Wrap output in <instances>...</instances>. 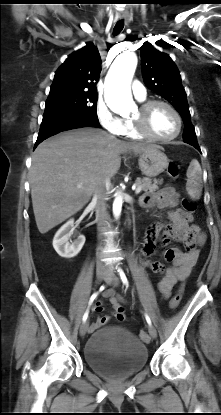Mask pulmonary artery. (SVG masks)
<instances>
[{
  "label": "pulmonary artery",
  "instance_id": "e3ab8cb5",
  "mask_svg": "<svg viewBox=\"0 0 221 415\" xmlns=\"http://www.w3.org/2000/svg\"><path fill=\"white\" fill-rule=\"evenodd\" d=\"M132 90L135 95V97L138 100H144L146 98V88L144 85L139 82L138 80H134L132 83Z\"/></svg>",
  "mask_w": 221,
  "mask_h": 415
}]
</instances>
